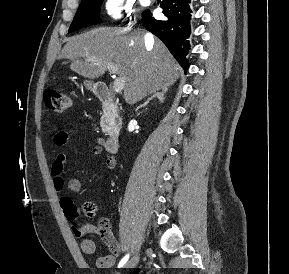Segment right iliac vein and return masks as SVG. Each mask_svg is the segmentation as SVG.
Listing matches in <instances>:
<instances>
[{
  "mask_svg": "<svg viewBox=\"0 0 289 274\" xmlns=\"http://www.w3.org/2000/svg\"><path fill=\"white\" fill-rule=\"evenodd\" d=\"M138 261H139V254L135 253L131 257V259L127 263H125L124 268H134L137 265Z\"/></svg>",
  "mask_w": 289,
  "mask_h": 274,
  "instance_id": "obj_1",
  "label": "right iliac vein"
}]
</instances>
